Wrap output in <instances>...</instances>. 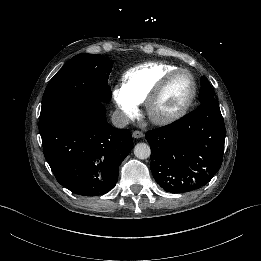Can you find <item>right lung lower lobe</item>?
I'll list each match as a JSON object with an SVG mask.
<instances>
[{
    "instance_id": "obj_1",
    "label": "right lung lower lobe",
    "mask_w": 261,
    "mask_h": 261,
    "mask_svg": "<svg viewBox=\"0 0 261 261\" xmlns=\"http://www.w3.org/2000/svg\"><path fill=\"white\" fill-rule=\"evenodd\" d=\"M101 102L48 109L40 114L44 156L57 181L81 196L109 192L133 148L128 129L111 126Z\"/></svg>"
}]
</instances>
